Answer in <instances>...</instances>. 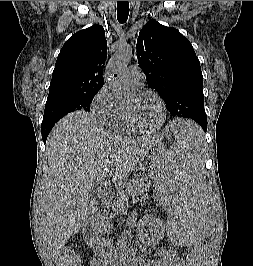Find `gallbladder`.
<instances>
[{
	"label": "gallbladder",
	"mask_w": 253,
	"mask_h": 266,
	"mask_svg": "<svg viewBox=\"0 0 253 266\" xmlns=\"http://www.w3.org/2000/svg\"><path fill=\"white\" fill-rule=\"evenodd\" d=\"M98 188H99V184L96 183V184L94 185L93 192H96V190H98ZM90 226H91L90 223H89L88 225H86V226L83 228V233H84V232H85Z\"/></svg>",
	"instance_id": "bac80fb5"
}]
</instances>
